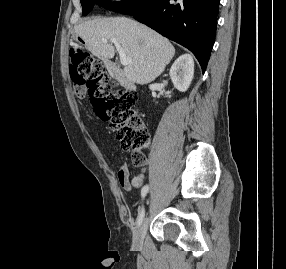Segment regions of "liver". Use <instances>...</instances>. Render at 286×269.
I'll return each mask as SVG.
<instances>
[{"label":"liver","mask_w":286,"mask_h":269,"mask_svg":"<svg viewBox=\"0 0 286 269\" xmlns=\"http://www.w3.org/2000/svg\"><path fill=\"white\" fill-rule=\"evenodd\" d=\"M74 30L85 41L87 49L104 61L114 57L115 48L108 41L116 39L132 60L124 67L126 78L141 85L154 81L175 54L168 39L125 17L87 20Z\"/></svg>","instance_id":"6515ba94"}]
</instances>
